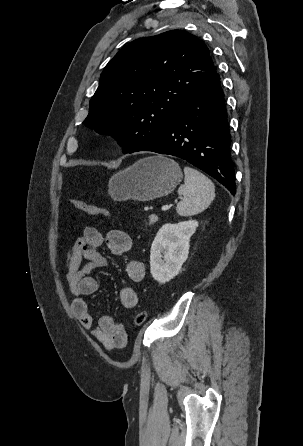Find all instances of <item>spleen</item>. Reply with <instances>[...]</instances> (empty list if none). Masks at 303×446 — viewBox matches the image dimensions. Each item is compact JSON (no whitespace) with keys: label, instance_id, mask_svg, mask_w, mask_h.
I'll return each mask as SVG.
<instances>
[{"label":"spleen","instance_id":"3e777b00","mask_svg":"<svg viewBox=\"0 0 303 446\" xmlns=\"http://www.w3.org/2000/svg\"><path fill=\"white\" fill-rule=\"evenodd\" d=\"M184 173V184L178 189L183 200L177 204L176 211L180 216H192L211 204L215 198V187L208 177L192 167H184Z\"/></svg>","mask_w":303,"mask_h":446}]
</instances>
